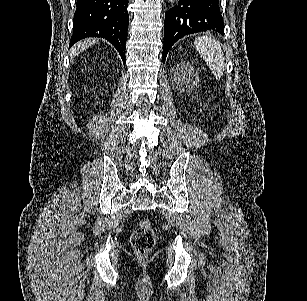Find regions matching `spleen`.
I'll return each mask as SVG.
<instances>
[{
    "label": "spleen",
    "instance_id": "obj_1",
    "mask_svg": "<svg viewBox=\"0 0 307 301\" xmlns=\"http://www.w3.org/2000/svg\"><path fill=\"white\" fill-rule=\"evenodd\" d=\"M194 44L215 78L220 80L225 70L224 54L220 42L213 36H196Z\"/></svg>",
    "mask_w": 307,
    "mask_h": 301
}]
</instances>
